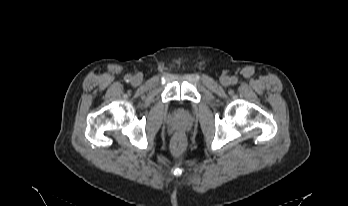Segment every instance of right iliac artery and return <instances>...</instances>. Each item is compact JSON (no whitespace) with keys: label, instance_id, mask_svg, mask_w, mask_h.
<instances>
[{"label":"right iliac artery","instance_id":"82829eb1","mask_svg":"<svg viewBox=\"0 0 348 206\" xmlns=\"http://www.w3.org/2000/svg\"><path fill=\"white\" fill-rule=\"evenodd\" d=\"M131 79H132V77H131L130 75H126V76H125V81H126V82H130Z\"/></svg>","mask_w":348,"mask_h":206}]
</instances>
